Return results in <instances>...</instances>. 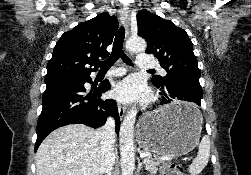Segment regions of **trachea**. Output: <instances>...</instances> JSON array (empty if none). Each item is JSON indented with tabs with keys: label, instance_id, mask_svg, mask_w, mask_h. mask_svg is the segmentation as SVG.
Returning <instances> with one entry per match:
<instances>
[{
	"label": "trachea",
	"instance_id": "obj_1",
	"mask_svg": "<svg viewBox=\"0 0 251 175\" xmlns=\"http://www.w3.org/2000/svg\"><path fill=\"white\" fill-rule=\"evenodd\" d=\"M125 38V29L124 27H120L113 43V49L110 57H108L103 62L98 63L100 67V71H107L112 65L118 60V58H122V60L128 65H132V61L125 55L123 51V43ZM148 72H154L155 70H147Z\"/></svg>",
	"mask_w": 251,
	"mask_h": 175
}]
</instances>
